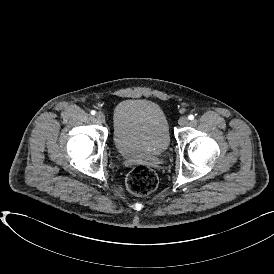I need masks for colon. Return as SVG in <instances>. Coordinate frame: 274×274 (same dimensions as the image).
Masks as SVG:
<instances>
[{"label": "colon", "mask_w": 274, "mask_h": 274, "mask_svg": "<svg viewBox=\"0 0 274 274\" xmlns=\"http://www.w3.org/2000/svg\"><path fill=\"white\" fill-rule=\"evenodd\" d=\"M158 179L153 170L146 167L133 169L127 176L126 186L129 192L137 196H145L157 187Z\"/></svg>", "instance_id": "obj_1"}]
</instances>
